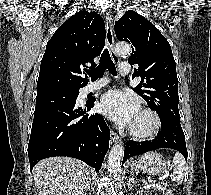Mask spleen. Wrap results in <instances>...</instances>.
<instances>
[{
	"instance_id": "3e777b00",
	"label": "spleen",
	"mask_w": 211,
	"mask_h": 195,
	"mask_svg": "<svg viewBox=\"0 0 211 195\" xmlns=\"http://www.w3.org/2000/svg\"><path fill=\"white\" fill-rule=\"evenodd\" d=\"M185 159L180 153H175L173 157L174 170L171 179L177 183H182L185 174Z\"/></svg>"
}]
</instances>
